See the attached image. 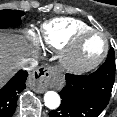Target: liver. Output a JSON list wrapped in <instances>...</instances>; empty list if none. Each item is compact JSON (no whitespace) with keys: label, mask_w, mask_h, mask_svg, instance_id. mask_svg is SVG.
I'll return each instance as SVG.
<instances>
[{"label":"liver","mask_w":117,"mask_h":117,"mask_svg":"<svg viewBox=\"0 0 117 117\" xmlns=\"http://www.w3.org/2000/svg\"><path fill=\"white\" fill-rule=\"evenodd\" d=\"M28 55V47L21 37L0 34V87L13 75L19 61Z\"/></svg>","instance_id":"obj_1"}]
</instances>
